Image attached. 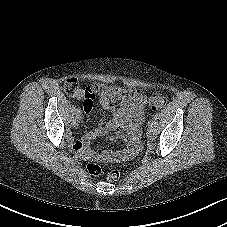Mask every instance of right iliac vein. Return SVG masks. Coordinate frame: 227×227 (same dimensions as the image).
<instances>
[{
	"instance_id": "obj_1",
	"label": "right iliac vein",
	"mask_w": 227,
	"mask_h": 227,
	"mask_svg": "<svg viewBox=\"0 0 227 227\" xmlns=\"http://www.w3.org/2000/svg\"><path fill=\"white\" fill-rule=\"evenodd\" d=\"M80 120H81V116L79 114H77L75 116V118L72 120V125L73 126H78V124L80 123Z\"/></svg>"
}]
</instances>
